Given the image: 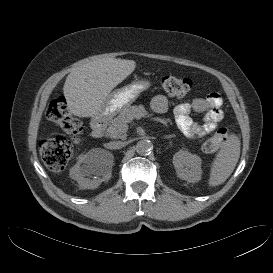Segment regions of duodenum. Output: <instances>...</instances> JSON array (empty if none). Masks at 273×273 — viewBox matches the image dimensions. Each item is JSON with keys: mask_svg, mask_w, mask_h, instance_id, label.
<instances>
[{"mask_svg": "<svg viewBox=\"0 0 273 273\" xmlns=\"http://www.w3.org/2000/svg\"><path fill=\"white\" fill-rule=\"evenodd\" d=\"M106 121L102 117H96L92 122L91 136L94 139L101 138L104 134Z\"/></svg>", "mask_w": 273, "mask_h": 273, "instance_id": "1", "label": "duodenum"}]
</instances>
